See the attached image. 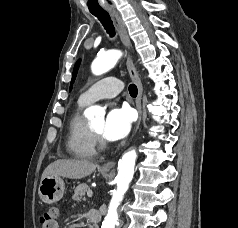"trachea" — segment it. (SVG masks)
Listing matches in <instances>:
<instances>
[{"label":"trachea","mask_w":238,"mask_h":228,"mask_svg":"<svg viewBox=\"0 0 238 228\" xmlns=\"http://www.w3.org/2000/svg\"><path fill=\"white\" fill-rule=\"evenodd\" d=\"M91 13L99 19V21L102 23V25L104 26L107 33L111 37H114L115 29H114L112 20L110 18V15L108 14V12L101 9V10L91 11ZM129 93L132 97H136L137 96V86L134 84H131L129 86Z\"/></svg>","instance_id":"trachea-1"}]
</instances>
